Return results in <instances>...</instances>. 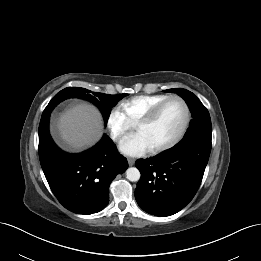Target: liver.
<instances>
[{"mask_svg":"<svg viewBox=\"0 0 261 261\" xmlns=\"http://www.w3.org/2000/svg\"><path fill=\"white\" fill-rule=\"evenodd\" d=\"M58 129L62 139L70 147L81 150L92 146L101 138L102 117L92 105H76L60 117Z\"/></svg>","mask_w":261,"mask_h":261,"instance_id":"obj_1","label":"liver"}]
</instances>
